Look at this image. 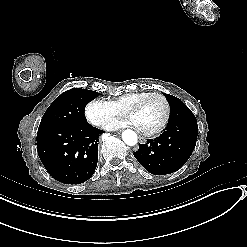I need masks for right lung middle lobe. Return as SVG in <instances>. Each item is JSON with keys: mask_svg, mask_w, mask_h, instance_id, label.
<instances>
[{"mask_svg": "<svg viewBox=\"0 0 247 247\" xmlns=\"http://www.w3.org/2000/svg\"><path fill=\"white\" fill-rule=\"evenodd\" d=\"M97 95L96 91L81 88L63 92L46 110L38 130L51 126L87 124L85 107Z\"/></svg>", "mask_w": 247, "mask_h": 247, "instance_id": "obj_1", "label": "right lung middle lobe"}]
</instances>
